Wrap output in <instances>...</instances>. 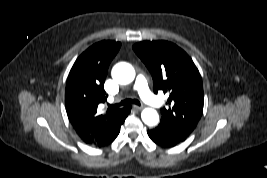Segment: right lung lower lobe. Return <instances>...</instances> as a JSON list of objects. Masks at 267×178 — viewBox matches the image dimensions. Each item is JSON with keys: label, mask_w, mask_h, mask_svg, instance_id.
<instances>
[{"label": "right lung lower lobe", "mask_w": 267, "mask_h": 178, "mask_svg": "<svg viewBox=\"0 0 267 178\" xmlns=\"http://www.w3.org/2000/svg\"><path fill=\"white\" fill-rule=\"evenodd\" d=\"M131 106H125L121 116L113 123L104 127L102 130L97 132L93 137L83 140L86 144L93 145L96 147H105L112 143L120 132V127L125 121L126 117L130 113Z\"/></svg>", "instance_id": "right-lung-lower-lobe-1"}]
</instances>
